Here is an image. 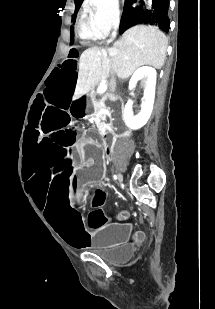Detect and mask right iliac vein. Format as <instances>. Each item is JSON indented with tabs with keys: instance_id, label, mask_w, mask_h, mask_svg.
I'll list each match as a JSON object with an SVG mask.
<instances>
[{
	"instance_id": "right-iliac-vein-1",
	"label": "right iliac vein",
	"mask_w": 215,
	"mask_h": 309,
	"mask_svg": "<svg viewBox=\"0 0 215 309\" xmlns=\"http://www.w3.org/2000/svg\"><path fill=\"white\" fill-rule=\"evenodd\" d=\"M118 179L120 182H122V175L120 173L118 174Z\"/></svg>"
}]
</instances>
